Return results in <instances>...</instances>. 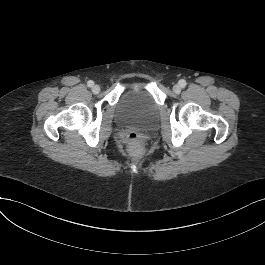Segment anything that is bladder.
Listing matches in <instances>:
<instances>
[{"instance_id":"1","label":"bladder","mask_w":265,"mask_h":265,"mask_svg":"<svg viewBox=\"0 0 265 265\" xmlns=\"http://www.w3.org/2000/svg\"><path fill=\"white\" fill-rule=\"evenodd\" d=\"M156 112L155 103L148 94L140 90L125 94L118 105V118L131 126L150 125Z\"/></svg>"}]
</instances>
